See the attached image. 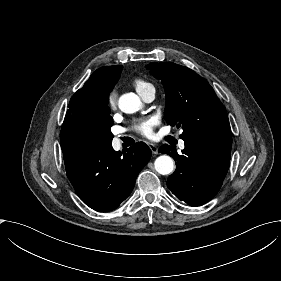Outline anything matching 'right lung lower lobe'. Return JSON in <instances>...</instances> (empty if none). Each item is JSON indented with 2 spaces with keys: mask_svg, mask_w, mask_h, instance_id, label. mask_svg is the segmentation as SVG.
<instances>
[{
  "mask_svg": "<svg viewBox=\"0 0 281 281\" xmlns=\"http://www.w3.org/2000/svg\"><path fill=\"white\" fill-rule=\"evenodd\" d=\"M110 108L85 103L74 116H65L60 144L67 176L90 208L111 211L132 192L139 172L151 157L137 142L127 151H114Z\"/></svg>",
  "mask_w": 281,
  "mask_h": 281,
  "instance_id": "98d812e1",
  "label": "right lung lower lobe"
}]
</instances>
